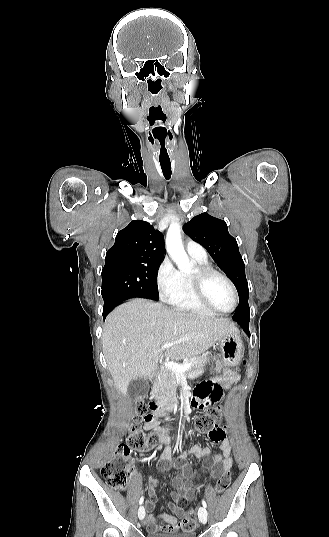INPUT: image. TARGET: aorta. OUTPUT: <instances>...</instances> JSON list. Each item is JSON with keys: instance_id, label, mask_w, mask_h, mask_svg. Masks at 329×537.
<instances>
[{"instance_id": "1", "label": "aorta", "mask_w": 329, "mask_h": 537, "mask_svg": "<svg viewBox=\"0 0 329 537\" xmlns=\"http://www.w3.org/2000/svg\"><path fill=\"white\" fill-rule=\"evenodd\" d=\"M166 248L169 256L181 272L191 271L193 265L184 250L181 240V228L177 223L171 224L167 231Z\"/></svg>"}]
</instances>
